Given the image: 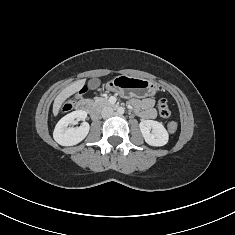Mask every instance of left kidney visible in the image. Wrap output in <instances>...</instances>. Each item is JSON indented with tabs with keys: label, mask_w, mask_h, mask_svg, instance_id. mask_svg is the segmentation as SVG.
Wrapping results in <instances>:
<instances>
[{
	"label": "left kidney",
	"mask_w": 235,
	"mask_h": 235,
	"mask_svg": "<svg viewBox=\"0 0 235 235\" xmlns=\"http://www.w3.org/2000/svg\"><path fill=\"white\" fill-rule=\"evenodd\" d=\"M139 127L147 144L156 147L167 144L169 134L162 123L153 120H143L140 122Z\"/></svg>",
	"instance_id": "obj_1"
}]
</instances>
